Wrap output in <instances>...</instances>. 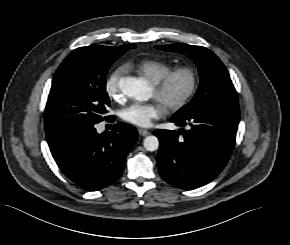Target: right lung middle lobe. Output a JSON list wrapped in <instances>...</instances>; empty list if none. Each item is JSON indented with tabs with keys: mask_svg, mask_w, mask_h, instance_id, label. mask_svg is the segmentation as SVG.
Segmentation results:
<instances>
[{
	"mask_svg": "<svg viewBox=\"0 0 290 245\" xmlns=\"http://www.w3.org/2000/svg\"><path fill=\"white\" fill-rule=\"evenodd\" d=\"M135 45H91L72 51L57 69L45 109V125L97 124L110 106L106 76L112 64Z\"/></svg>",
	"mask_w": 290,
	"mask_h": 245,
	"instance_id": "right-lung-middle-lobe-1",
	"label": "right lung middle lobe"
}]
</instances>
